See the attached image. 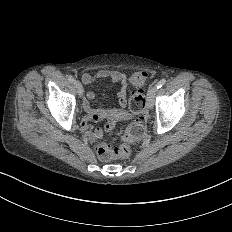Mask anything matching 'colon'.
Segmentation results:
<instances>
[{
  "label": "colon",
  "mask_w": 232,
  "mask_h": 232,
  "mask_svg": "<svg viewBox=\"0 0 232 232\" xmlns=\"http://www.w3.org/2000/svg\"><path fill=\"white\" fill-rule=\"evenodd\" d=\"M143 76H148V71H132L130 81L132 83L131 107L139 112L146 104V86H150V81H144ZM144 127L138 122H131L123 134V139L128 144L139 143L143 139ZM94 151L101 158L110 162L117 161L121 156L131 153L129 146H124L121 138L114 134H106L100 137L94 146Z\"/></svg>",
  "instance_id": "colon-1"
}]
</instances>
